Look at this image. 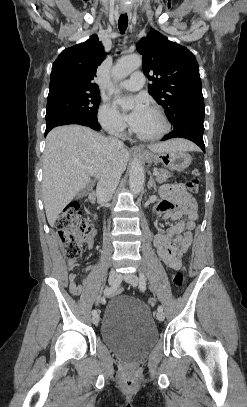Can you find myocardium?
<instances>
[{"label": "myocardium", "instance_id": "f54148a6", "mask_svg": "<svg viewBox=\"0 0 247 407\" xmlns=\"http://www.w3.org/2000/svg\"><path fill=\"white\" fill-rule=\"evenodd\" d=\"M148 109L151 110L152 112H154L160 118V120L163 124L162 130L157 135H154V136L140 135L139 133H137L134 130V128L131 129V132L139 141L156 142V141L163 139L169 133L171 124H170L169 119L167 118L166 114L164 113V111L161 108H159L157 106H150Z\"/></svg>", "mask_w": 247, "mask_h": 407}]
</instances>
